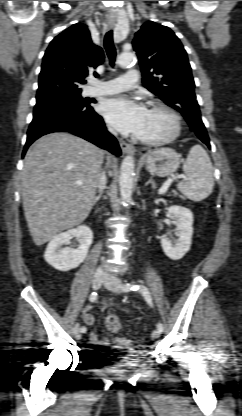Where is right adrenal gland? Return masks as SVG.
I'll return each mask as SVG.
<instances>
[{"instance_id":"obj_1","label":"right adrenal gland","mask_w":242,"mask_h":416,"mask_svg":"<svg viewBox=\"0 0 242 416\" xmlns=\"http://www.w3.org/2000/svg\"><path fill=\"white\" fill-rule=\"evenodd\" d=\"M101 197H102V191H100V193L95 197L94 204H96L100 200Z\"/></svg>"}]
</instances>
